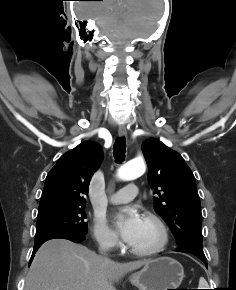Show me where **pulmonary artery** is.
I'll return each mask as SVG.
<instances>
[{
    "mask_svg": "<svg viewBox=\"0 0 236 290\" xmlns=\"http://www.w3.org/2000/svg\"><path fill=\"white\" fill-rule=\"evenodd\" d=\"M138 194V188L135 184H127L120 191L110 197V202L113 204L126 203L134 199Z\"/></svg>",
    "mask_w": 236,
    "mask_h": 290,
    "instance_id": "obj_1",
    "label": "pulmonary artery"
}]
</instances>
